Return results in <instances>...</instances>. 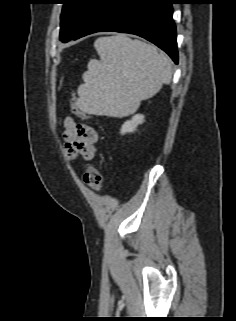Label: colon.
Listing matches in <instances>:
<instances>
[{
	"instance_id": "5ec220e1",
	"label": "colon",
	"mask_w": 236,
	"mask_h": 321,
	"mask_svg": "<svg viewBox=\"0 0 236 321\" xmlns=\"http://www.w3.org/2000/svg\"><path fill=\"white\" fill-rule=\"evenodd\" d=\"M70 108L71 111L81 117L86 118L87 114L80 108L78 100L75 94L72 92L70 97ZM102 174L96 165H88L84 172V182L87 184L89 188L94 191H100L102 187Z\"/></svg>"
}]
</instances>
